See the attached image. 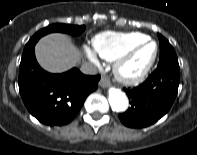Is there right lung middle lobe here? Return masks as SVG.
Here are the masks:
<instances>
[{
  "label": "right lung middle lobe",
  "instance_id": "right-lung-middle-lobe-1",
  "mask_svg": "<svg viewBox=\"0 0 197 155\" xmlns=\"http://www.w3.org/2000/svg\"><path fill=\"white\" fill-rule=\"evenodd\" d=\"M85 29V26H77V25H69V24H52L49 25L41 30H39L38 32H36L31 39L28 41V43L26 44L24 51L26 52L27 50H29L31 47L35 46V44L37 43V41L44 35L48 34V33H52V32H62V33H68L70 35L73 36H78L80 35Z\"/></svg>",
  "mask_w": 197,
  "mask_h": 155
}]
</instances>
